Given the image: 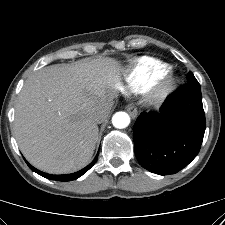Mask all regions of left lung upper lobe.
Masks as SVG:
<instances>
[{
	"instance_id": "left-lung-upper-lobe-1",
	"label": "left lung upper lobe",
	"mask_w": 225,
	"mask_h": 225,
	"mask_svg": "<svg viewBox=\"0 0 225 225\" xmlns=\"http://www.w3.org/2000/svg\"><path fill=\"white\" fill-rule=\"evenodd\" d=\"M188 83L194 84V85H199L198 81L196 80V78L194 77L192 72L188 73V77H187Z\"/></svg>"
}]
</instances>
